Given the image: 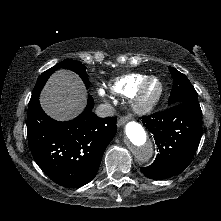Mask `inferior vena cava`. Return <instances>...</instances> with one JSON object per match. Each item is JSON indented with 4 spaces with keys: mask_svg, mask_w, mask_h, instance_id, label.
Wrapping results in <instances>:
<instances>
[{
    "mask_svg": "<svg viewBox=\"0 0 221 221\" xmlns=\"http://www.w3.org/2000/svg\"><path fill=\"white\" fill-rule=\"evenodd\" d=\"M95 113L99 117H111L114 115L115 109L111 104L105 103V104H100L96 108Z\"/></svg>",
    "mask_w": 221,
    "mask_h": 221,
    "instance_id": "602c4592",
    "label": "inferior vena cava"
}]
</instances>
